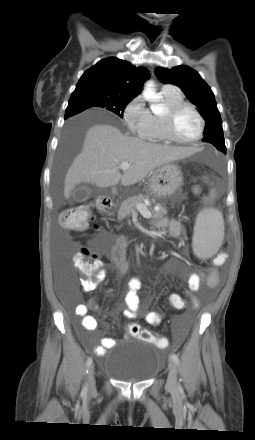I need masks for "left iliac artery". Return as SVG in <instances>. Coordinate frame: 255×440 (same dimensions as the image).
Masks as SVG:
<instances>
[{
    "label": "left iliac artery",
    "instance_id": "1",
    "mask_svg": "<svg viewBox=\"0 0 255 440\" xmlns=\"http://www.w3.org/2000/svg\"><path fill=\"white\" fill-rule=\"evenodd\" d=\"M171 358H172V360L174 361V363L176 364V365H179V358H178V356L176 355V354H172L171 355ZM181 388V386L179 385V389Z\"/></svg>",
    "mask_w": 255,
    "mask_h": 440
}]
</instances>
